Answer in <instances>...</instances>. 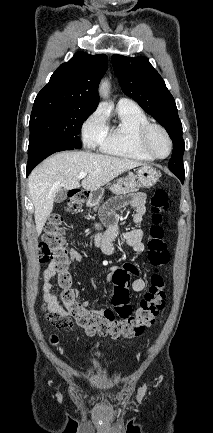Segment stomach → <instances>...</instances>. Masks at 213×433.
Wrapping results in <instances>:
<instances>
[{
  "mask_svg": "<svg viewBox=\"0 0 213 433\" xmlns=\"http://www.w3.org/2000/svg\"><path fill=\"white\" fill-rule=\"evenodd\" d=\"M159 179V174L156 169L150 166H143L137 171V180L141 187L150 188L156 184ZM103 194V191L98 190L90 194L89 201L95 202L98 200Z\"/></svg>",
  "mask_w": 213,
  "mask_h": 433,
  "instance_id": "obj_1",
  "label": "stomach"
}]
</instances>
